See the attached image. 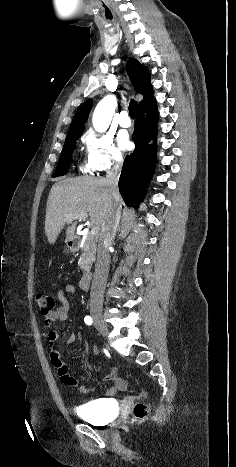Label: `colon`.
<instances>
[{"label":"colon","instance_id":"colon-1","mask_svg":"<svg viewBox=\"0 0 236 467\" xmlns=\"http://www.w3.org/2000/svg\"><path fill=\"white\" fill-rule=\"evenodd\" d=\"M36 302L39 311L44 315L50 313L55 307L54 298L46 292H38L36 294ZM149 412V407L145 403H136L133 407V416L137 421L144 420Z\"/></svg>","mask_w":236,"mask_h":467}]
</instances>
